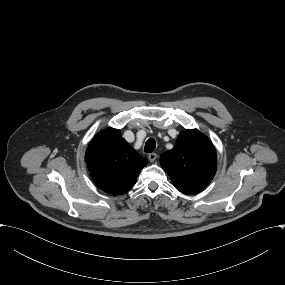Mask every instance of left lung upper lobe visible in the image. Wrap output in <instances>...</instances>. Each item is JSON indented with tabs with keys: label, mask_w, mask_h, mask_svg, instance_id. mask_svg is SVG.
Returning <instances> with one entry per match:
<instances>
[{
	"label": "left lung upper lobe",
	"mask_w": 285,
	"mask_h": 285,
	"mask_svg": "<svg viewBox=\"0 0 285 285\" xmlns=\"http://www.w3.org/2000/svg\"><path fill=\"white\" fill-rule=\"evenodd\" d=\"M160 163L180 192L193 194L210 183L217 158L211 141L198 130L188 129L179 134L173 149L161 155Z\"/></svg>",
	"instance_id": "left-lung-upper-lobe-1"
}]
</instances>
